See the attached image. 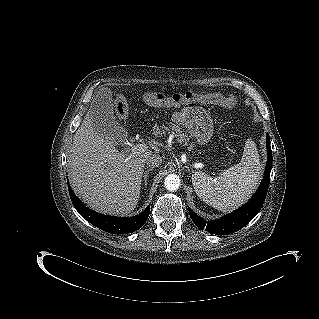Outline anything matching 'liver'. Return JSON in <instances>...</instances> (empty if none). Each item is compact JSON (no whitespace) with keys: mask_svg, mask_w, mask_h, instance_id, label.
<instances>
[{"mask_svg":"<svg viewBox=\"0 0 319 319\" xmlns=\"http://www.w3.org/2000/svg\"><path fill=\"white\" fill-rule=\"evenodd\" d=\"M115 144V138L95 130L89 109L73 136L68 174L74 192L87 206L103 214L126 215L138 204L145 163L152 151L127 154Z\"/></svg>","mask_w":319,"mask_h":319,"instance_id":"liver-1","label":"liver"}]
</instances>
